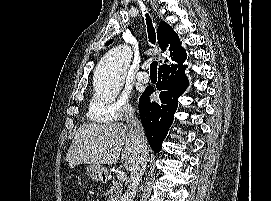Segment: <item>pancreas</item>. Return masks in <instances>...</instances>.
<instances>
[{
	"mask_svg": "<svg viewBox=\"0 0 271 201\" xmlns=\"http://www.w3.org/2000/svg\"><path fill=\"white\" fill-rule=\"evenodd\" d=\"M122 184L113 181L112 186L103 195L107 197L106 201H119L122 195Z\"/></svg>",
	"mask_w": 271,
	"mask_h": 201,
	"instance_id": "pancreas-1",
	"label": "pancreas"
}]
</instances>
